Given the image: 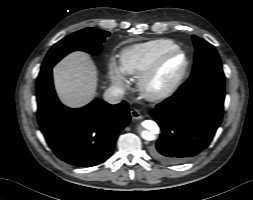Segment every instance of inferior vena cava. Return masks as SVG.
Segmentation results:
<instances>
[{
  "label": "inferior vena cava",
  "mask_w": 253,
  "mask_h": 200,
  "mask_svg": "<svg viewBox=\"0 0 253 200\" xmlns=\"http://www.w3.org/2000/svg\"><path fill=\"white\" fill-rule=\"evenodd\" d=\"M123 91L115 86L108 88L104 92V99L109 104H118L123 99Z\"/></svg>",
  "instance_id": "1"
}]
</instances>
